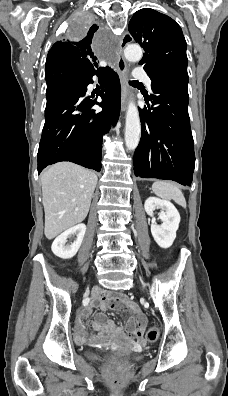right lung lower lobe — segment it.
I'll use <instances>...</instances> for the list:
<instances>
[{
  "instance_id": "obj_1",
  "label": "right lung lower lobe",
  "mask_w": 228,
  "mask_h": 396,
  "mask_svg": "<svg viewBox=\"0 0 228 396\" xmlns=\"http://www.w3.org/2000/svg\"><path fill=\"white\" fill-rule=\"evenodd\" d=\"M105 82L102 102L86 96L94 75ZM78 74L74 81L47 100L45 124L38 150V174L47 166L70 161L100 171L102 138L120 114L121 87L112 69L101 73ZM102 107L96 112L94 105Z\"/></svg>"
}]
</instances>
